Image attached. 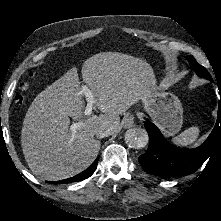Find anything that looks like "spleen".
<instances>
[{"instance_id": "3e777b00", "label": "spleen", "mask_w": 221, "mask_h": 221, "mask_svg": "<svg viewBox=\"0 0 221 221\" xmlns=\"http://www.w3.org/2000/svg\"><path fill=\"white\" fill-rule=\"evenodd\" d=\"M199 128L196 126H192L185 131H183L178 136L172 139V142L177 146H188L195 142V140L199 136Z\"/></svg>"}]
</instances>
